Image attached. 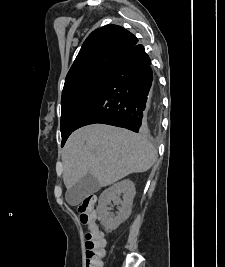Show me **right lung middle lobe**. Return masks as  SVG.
Returning a JSON list of instances; mask_svg holds the SVG:
<instances>
[{
	"label": "right lung middle lobe",
	"mask_w": 225,
	"mask_h": 267,
	"mask_svg": "<svg viewBox=\"0 0 225 267\" xmlns=\"http://www.w3.org/2000/svg\"><path fill=\"white\" fill-rule=\"evenodd\" d=\"M108 74L87 77L64 87L61 97L62 146L74 131L78 118L97 94Z\"/></svg>",
	"instance_id": "right-lung-middle-lobe-1"
}]
</instances>
